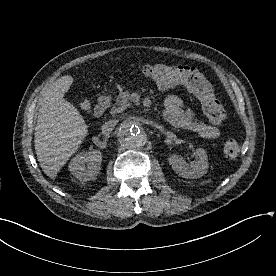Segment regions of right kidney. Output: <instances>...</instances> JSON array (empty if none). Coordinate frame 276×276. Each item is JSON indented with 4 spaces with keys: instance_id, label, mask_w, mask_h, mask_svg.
Segmentation results:
<instances>
[{
    "instance_id": "ca27d5eb",
    "label": "right kidney",
    "mask_w": 276,
    "mask_h": 276,
    "mask_svg": "<svg viewBox=\"0 0 276 276\" xmlns=\"http://www.w3.org/2000/svg\"><path fill=\"white\" fill-rule=\"evenodd\" d=\"M100 151L81 152L69 163V171L81 182L92 180L101 169Z\"/></svg>"
}]
</instances>
